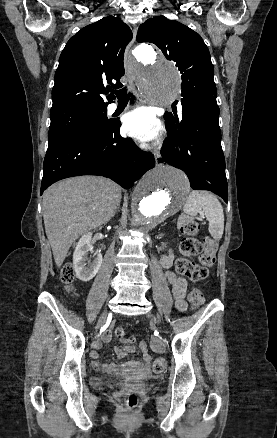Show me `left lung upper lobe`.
Returning <instances> with one entry per match:
<instances>
[{"instance_id": "5c2ea615", "label": "left lung upper lobe", "mask_w": 277, "mask_h": 438, "mask_svg": "<svg viewBox=\"0 0 277 438\" xmlns=\"http://www.w3.org/2000/svg\"><path fill=\"white\" fill-rule=\"evenodd\" d=\"M137 41L157 45L167 59L176 62L182 73L181 104L217 96L210 53L198 33L177 21L157 16L139 27ZM174 114H164L166 126L174 125Z\"/></svg>"}]
</instances>
